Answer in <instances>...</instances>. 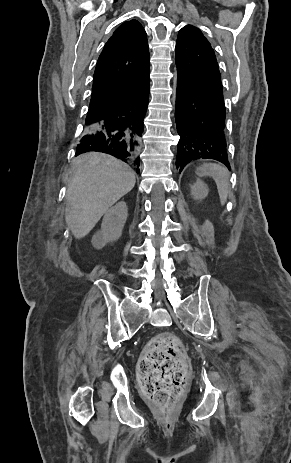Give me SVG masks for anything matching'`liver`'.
Returning a JSON list of instances; mask_svg holds the SVG:
<instances>
[{"instance_id": "liver-1", "label": "liver", "mask_w": 291, "mask_h": 463, "mask_svg": "<svg viewBox=\"0 0 291 463\" xmlns=\"http://www.w3.org/2000/svg\"><path fill=\"white\" fill-rule=\"evenodd\" d=\"M73 171L66 194L69 210L65 220L74 237L80 239L113 204L133 189L136 179L128 165L98 152L78 156L73 161Z\"/></svg>"}]
</instances>
